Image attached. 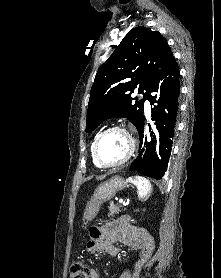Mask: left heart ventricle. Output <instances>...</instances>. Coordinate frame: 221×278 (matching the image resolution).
Here are the masks:
<instances>
[{"label":"left heart ventricle","instance_id":"b2bd125f","mask_svg":"<svg viewBox=\"0 0 221 278\" xmlns=\"http://www.w3.org/2000/svg\"><path fill=\"white\" fill-rule=\"evenodd\" d=\"M129 143L127 137L120 132H109L99 141L97 152L100 161L104 164H115L127 154Z\"/></svg>","mask_w":221,"mask_h":278}]
</instances>
